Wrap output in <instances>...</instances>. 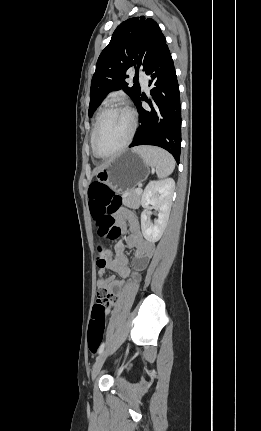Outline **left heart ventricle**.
<instances>
[{"label": "left heart ventricle", "mask_w": 261, "mask_h": 431, "mask_svg": "<svg viewBox=\"0 0 261 431\" xmlns=\"http://www.w3.org/2000/svg\"><path fill=\"white\" fill-rule=\"evenodd\" d=\"M130 127V117L125 110L115 108L107 112L98 133L99 151L102 154H109L118 149L126 140Z\"/></svg>", "instance_id": "b2bd125f"}]
</instances>
